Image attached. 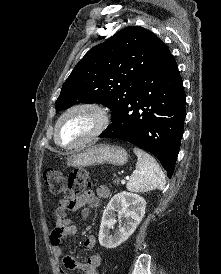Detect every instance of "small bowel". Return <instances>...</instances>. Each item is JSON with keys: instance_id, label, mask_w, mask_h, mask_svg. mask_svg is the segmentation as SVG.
Segmentation results:
<instances>
[{"instance_id": "obj_1", "label": "small bowel", "mask_w": 221, "mask_h": 274, "mask_svg": "<svg viewBox=\"0 0 221 274\" xmlns=\"http://www.w3.org/2000/svg\"><path fill=\"white\" fill-rule=\"evenodd\" d=\"M109 196V189L100 186L96 192L88 191L77 199L68 201L61 200L54 212V229L51 233L52 252L59 264V273L67 274L66 270H82L85 274H99L101 256L90 255L85 262H79L70 255H64L62 250L63 239L73 236L77 232L75 222L68 217V213L82 209V216L86 217L87 207H96L101 199ZM96 246V238L89 235L84 240L86 250H92Z\"/></svg>"}]
</instances>
